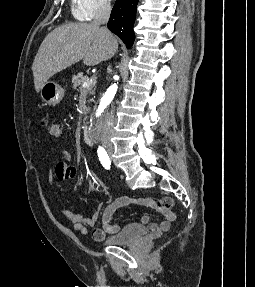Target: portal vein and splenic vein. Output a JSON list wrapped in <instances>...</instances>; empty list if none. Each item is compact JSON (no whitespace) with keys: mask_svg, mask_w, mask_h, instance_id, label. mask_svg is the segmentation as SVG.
<instances>
[{"mask_svg":"<svg viewBox=\"0 0 255 287\" xmlns=\"http://www.w3.org/2000/svg\"><path fill=\"white\" fill-rule=\"evenodd\" d=\"M94 80H96V78H91V80H89V82H84L83 88H89L90 84H92V82H94Z\"/></svg>","mask_w":255,"mask_h":287,"instance_id":"portal-vein-and-splenic-vein-1","label":"portal vein and splenic vein"}]
</instances>
